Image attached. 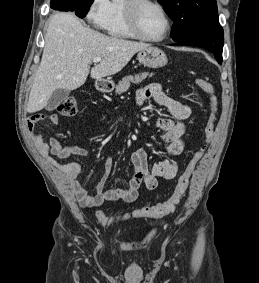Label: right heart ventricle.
I'll return each instance as SVG.
<instances>
[{
	"label": "right heart ventricle",
	"mask_w": 259,
	"mask_h": 283,
	"mask_svg": "<svg viewBox=\"0 0 259 283\" xmlns=\"http://www.w3.org/2000/svg\"><path fill=\"white\" fill-rule=\"evenodd\" d=\"M125 0H112L108 15L102 26L103 30L117 38H135L128 26L125 8Z\"/></svg>",
	"instance_id": "e07e8e85"
}]
</instances>
